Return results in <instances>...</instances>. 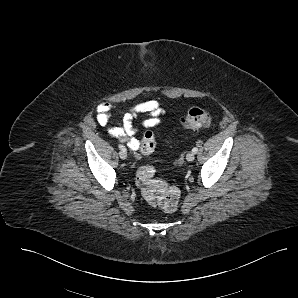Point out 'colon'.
<instances>
[{"instance_id":"obj_1","label":"colon","mask_w":298,"mask_h":298,"mask_svg":"<svg viewBox=\"0 0 298 298\" xmlns=\"http://www.w3.org/2000/svg\"><path fill=\"white\" fill-rule=\"evenodd\" d=\"M183 126L187 129L195 130L208 128L212 125L210 113L199 106L190 108L180 119ZM156 147L155 135L152 131L144 132L140 141L139 150L143 154H151ZM136 181L142 191L144 198L149 204L160 208L166 212L176 210L180 191L176 186L155 178V169L150 165L139 168Z\"/></svg>"}]
</instances>
